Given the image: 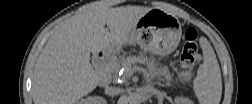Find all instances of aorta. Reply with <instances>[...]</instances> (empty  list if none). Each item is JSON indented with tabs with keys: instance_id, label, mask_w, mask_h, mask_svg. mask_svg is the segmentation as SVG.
I'll use <instances>...</instances> for the list:
<instances>
[{
	"instance_id": "1",
	"label": "aorta",
	"mask_w": 252,
	"mask_h": 104,
	"mask_svg": "<svg viewBox=\"0 0 252 104\" xmlns=\"http://www.w3.org/2000/svg\"><path fill=\"white\" fill-rule=\"evenodd\" d=\"M127 102L130 104H139L141 102V95L139 93H130L127 96Z\"/></svg>"
}]
</instances>
